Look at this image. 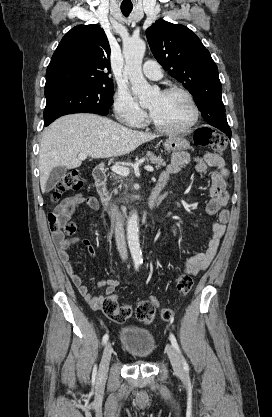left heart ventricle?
Segmentation results:
<instances>
[{"label":"left heart ventricle","instance_id":"obj_1","mask_svg":"<svg viewBox=\"0 0 272 417\" xmlns=\"http://www.w3.org/2000/svg\"><path fill=\"white\" fill-rule=\"evenodd\" d=\"M157 123L167 128H181L192 118L188 100L181 94L163 96L159 93L148 106Z\"/></svg>","mask_w":272,"mask_h":417}]
</instances>
